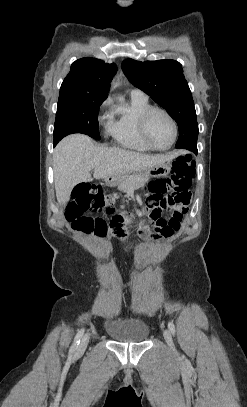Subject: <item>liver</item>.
<instances>
[{"label":"liver","instance_id":"obj_1","mask_svg":"<svg viewBox=\"0 0 247 407\" xmlns=\"http://www.w3.org/2000/svg\"><path fill=\"white\" fill-rule=\"evenodd\" d=\"M178 152L147 155L120 148L98 146L82 134L62 139L53 154L54 184L57 200L66 204L74 186L95 179L150 170L169 162Z\"/></svg>","mask_w":247,"mask_h":407}]
</instances>
